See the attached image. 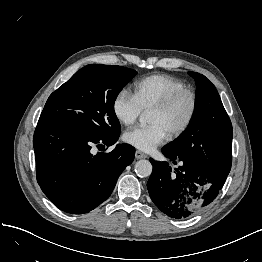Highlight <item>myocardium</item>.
<instances>
[{
  "label": "myocardium",
  "instance_id": "myocardium-1",
  "mask_svg": "<svg viewBox=\"0 0 262 262\" xmlns=\"http://www.w3.org/2000/svg\"><path fill=\"white\" fill-rule=\"evenodd\" d=\"M184 97H186L189 101V111H188V114L185 120L169 133V136L171 138H176V137L181 136L192 125L194 118L196 116L197 107H198V100H197L196 93L190 89L182 88V89L173 91L170 94L166 95L164 98H162L160 101L155 103L150 108V110L165 111L169 109L172 105H174L178 100Z\"/></svg>",
  "mask_w": 262,
  "mask_h": 262
}]
</instances>
